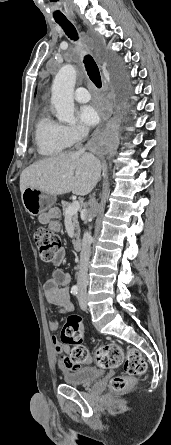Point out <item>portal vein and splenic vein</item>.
<instances>
[{
	"instance_id": "18ae733b",
	"label": "portal vein and splenic vein",
	"mask_w": 171,
	"mask_h": 445,
	"mask_svg": "<svg viewBox=\"0 0 171 445\" xmlns=\"http://www.w3.org/2000/svg\"><path fill=\"white\" fill-rule=\"evenodd\" d=\"M80 208V203L78 201H74L65 211V216L69 217V216H73L74 214H76L78 212Z\"/></svg>"
}]
</instances>
